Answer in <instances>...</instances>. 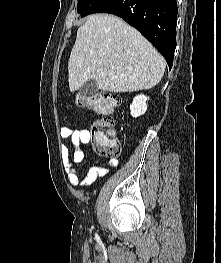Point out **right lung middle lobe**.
Returning a JSON list of instances; mask_svg holds the SVG:
<instances>
[{
  "label": "right lung middle lobe",
  "instance_id": "dd1d6c3e",
  "mask_svg": "<svg viewBox=\"0 0 221 263\" xmlns=\"http://www.w3.org/2000/svg\"><path fill=\"white\" fill-rule=\"evenodd\" d=\"M105 0H79L77 4V12L81 17L93 13Z\"/></svg>",
  "mask_w": 221,
  "mask_h": 263
}]
</instances>
